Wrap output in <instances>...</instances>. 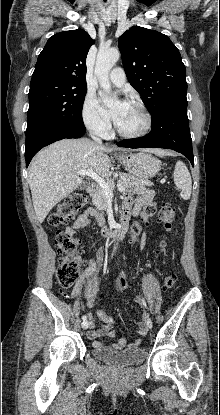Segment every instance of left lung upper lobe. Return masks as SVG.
Wrapping results in <instances>:
<instances>
[{"label":"left lung upper lobe","instance_id":"left-lung-upper-lobe-1","mask_svg":"<svg viewBox=\"0 0 220 415\" xmlns=\"http://www.w3.org/2000/svg\"><path fill=\"white\" fill-rule=\"evenodd\" d=\"M127 78L154 114L166 103L186 99V68L164 34L134 26L118 40Z\"/></svg>","mask_w":220,"mask_h":415}]
</instances>
